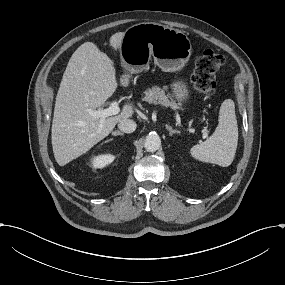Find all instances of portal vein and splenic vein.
Wrapping results in <instances>:
<instances>
[{
  "instance_id": "1",
  "label": "portal vein and splenic vein",
  "mask_w": 285,
  "mask_h": 285,
  "mask_svg": "<svg viewBox=\"0 0 285 285\" xmlns=\"http://www.w3.org/2000/svg\"><path fill=\"white\" fill-rule=\"evenodd\" d=\"M119 104L120 101L118 99L114 100L109 108H106L104 110H93L91 108H86L85 111L91 116L95 118H106L109 116H113L118 114L119 112ZM206 136V134H203Z\"/></svg>"
}]
</instances>
